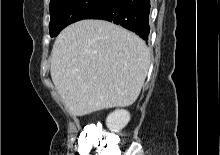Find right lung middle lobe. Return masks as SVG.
<instances>
[{
  "mask_svg": "<svg viewBox=\"0 0 220 155\" xmlns=\"http://www.w3.org/2000/svg\"><path fill=\"white\" fill-rule=\"evenodd\" d=\"M117 0H53L50 2V36L55 37L71 23L86 19Z\"/></svg>",
  "mask_w": 220,
  "mask_h": 155,
  "instance_id": "right-lung-middle-lobe-1",
  "label": "right lung middle lobe"
}]
</instances>
